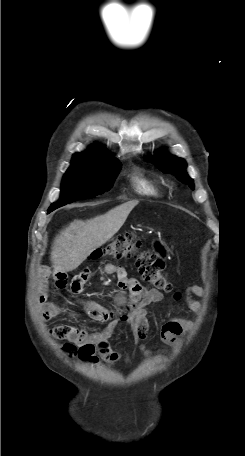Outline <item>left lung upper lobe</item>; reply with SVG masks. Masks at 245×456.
I'll use <instances>...</instances> for the list:
<instances>
[{"instance_id":"left-lung-upper-lobe-1","label":"left lung upper lobe","mask_w":245,"mask_h":456,"mask_svg":"<svg viewBox=\"0 0 245 456\" xmlns=\"http://www.w3.org/2000/svg\"><path fill=\"white\" fill-rule=\"evenodd\" d=\"M152 160L164 173L170 172L175 174L179 180L189 185L191 189L194 188L193 180L185 172L186 163L183 159L176 158L165 153V151H160Z\"/></svg>"}]
</instances>
